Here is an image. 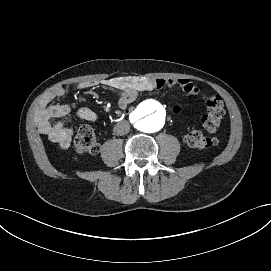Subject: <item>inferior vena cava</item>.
<instances>
[{"label": "inferior vena cava", "mask_w": 271, "mask_h": 271, "mask_svg": "<svg viewBox=\"0 0 271 271\" xmlns=\"http://www.w3.org/2000/svg\"><path fill=\"white\" fill-rule=\"evenodd\" d=\"M116 135H125L129 132V125L126 121L118 122L113 128Z\"/></svg>", "instance_id": "1"}]
</instances>
